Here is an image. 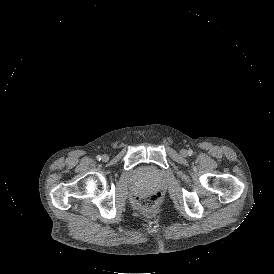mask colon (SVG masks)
Returning a JSON list of instances; mask_svg holds the SVG:
<instances>
[{
  "instance_id": "1",
  "label": "colon",
  "mask_w": 274,
  "mask_h": 274,
  "mask_svg": "<svg viewBox=\"0 0 274 274\" xmlns=\"http://www.w3.org/2000/svg\"><path fill=\"white\" fill-rule=\"evenodd\" d=\"M163 202L164 194L161 191L149 192L133 199L134 207L144 213H148L154 208H159Z\"/></svg>"
}]
</instances>
